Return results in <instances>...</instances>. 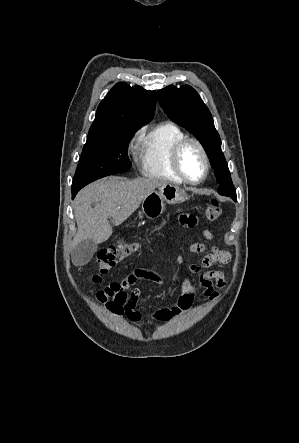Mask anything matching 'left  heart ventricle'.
I'll return each instance as SVG.
<instances>
[{
    "label": "left heart ventricle",
    "instance_id": "1",
    "mask_svg": "<svg viewBox=\"0 0 299 443\" xmlns=\"http://www.w3.org/2000/svg\"><path fill=\"white\" fill-rule=\"evenodd\" d=\"M181 165L186 175L192 179H199L204 172V162L196 145H187L181 154Z\"/></svg>",
    "mask_w": 299,
    "mask_h": 443
}]
</instances>
